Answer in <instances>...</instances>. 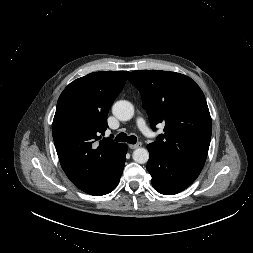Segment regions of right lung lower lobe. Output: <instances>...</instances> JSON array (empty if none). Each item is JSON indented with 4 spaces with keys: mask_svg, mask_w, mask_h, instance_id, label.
<instances>
[{
    "mask_svg": "<svg viewBox=\"0 0 253 253\" xmlns=\"http://www.w3.org/2000/svg\"><path fill=\"white\" fill-rule=\"evenodd\" d=\"M126 153L127 145L124 144L101 179L84 192L95 196H101L113 191L120 181L125 164Z\"/></svg>",
    "mask_w": 253,
    "mask_h": 253,
    "instance_id": "98d812e1",
    "label": "right lung lower lobe"
}]
</instances>
